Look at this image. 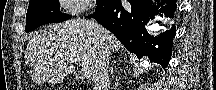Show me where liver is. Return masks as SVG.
Wrapping results in <instances>:
<instances>
[{"label":"liver","mask_w":216,"mask_h":90,"mask_svg":"<svg viewBox=\"0 0 216 90\" xmlns=\"http://www.w3.org/2000/svg\"><path fill=\"white\" fill-rule=\"evenodd\" d=\"M121 42L109 30L94 20H68L64 24L38 30L31 38L27 50V62L43 72L44 82L59 84L76 72L80 60L83 72L92 76L100 56L105 52H119Z\"/></svg>","instance_id":"obj_1"}]
</instances>
